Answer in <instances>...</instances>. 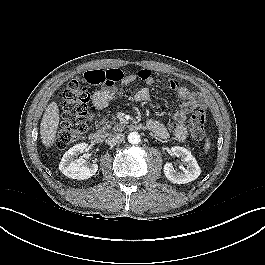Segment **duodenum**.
Returning a JSON list of instances; mask_svg holds the SVG:
<instances>
[{
  "label": "duodenum",
  "instance_id": "410a0bca",
  "mask_svg": "<svg viewBox=\"0 0 265 265\" xmlns=\"http://www.w3.org/2000/svg\"><path fill=\"white\" fill-rule=\"evenodd\" d=\"M134 128L137 130H141L143 126L137 124L134 126ZM89 141L96 145L101 144L103 142V135L99 131L94 130L89 134Z\"/></svg>",
  "mask_w": 265,
  "mask_h": 265
}]
</instances>
